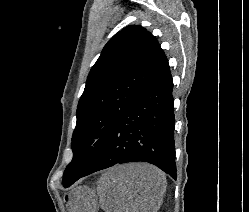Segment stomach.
<instances>
[{"label": "stomach", "mask_w": 249, "mask_h": 212, "mask_svg": "<svg viewBox=\"0 0 249 212\" xmlns=\"http://www.w3.org/2000/svg\"><path fill=\"white\" fill-rule=\"evenodd\" d=\"M69 212H97V196L87 186H79L66 194Z\"/></svg>", "instance_id": "obj_1"}]
</instances>
